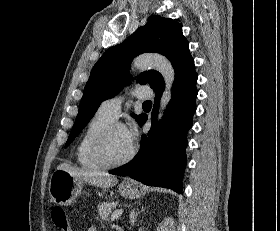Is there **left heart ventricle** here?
Wrapping results in <instances>:
<instances>
[{"label": "left heart ventricle", "mask_w": 280, "mask_h": 231, "mask_svg": "<svg viewBox=\"0 0 280 231\" xmlns=\"http://www.w3.org/2000/svg\"><path fill=\"white\" fill-rule=\"evenodd\" d=\"M130 148L126 146L123 140L122 127L117 126L113 128L108 136L106 143L107 156L111 160H120L125 157Z\"/></svg>", "instance_id": "obj_1"}]
</instances>
